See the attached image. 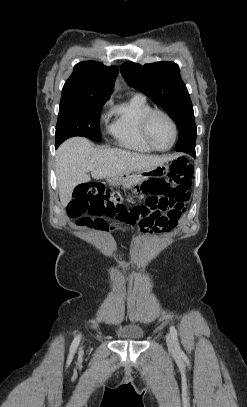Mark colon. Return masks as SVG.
<instances>
[{"mask_svg":"<svg viewBox=\"0 0 247 407\" xmlns=\"http://www.w3.org/2000/svg\"><path fill=\"white\" fill-rule=\"evenodd\" d=\"M194 173L192 163L186 158L175 160L168 175L143 183L139 188L146 197L168 199L170 202L185 203L189 199V189ZM124 193L107 189L103 184L92 183L78 186L73 194V199L67 207L70 218L79 219L78 222L85 226H94L99 230H108L107 223L102 219L94 221L80 218L84 214L97 216H118L128 208L123 202Z\"/></svg>","mask_w":247,"mask_h":407,"instance_id":"5ec220e1","label":"colon"}]
</instances>
